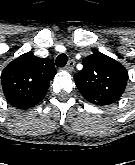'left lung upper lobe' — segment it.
<instances>
[{"label": "left lung upper lobe", "instance_id": "5c2ea615", "mask_svg": "<svg viewBox=\"0 0 135 165\" xmlns=\"http://www.w3.org/2000/svg\"><path fill=\"white\" fill-rule=\"evenodd\" d=\"M83 97L96 105H108L123 94L128 79L125 67L101 52L83 59V69L74 75Z\"/></svg>", "mask_w": 135, "mask_h": 165}]
</instances>
